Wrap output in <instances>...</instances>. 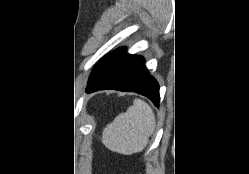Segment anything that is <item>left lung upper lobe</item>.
Returning <instances> with one entry per match:
<instances>
[{"label": "left lung upper lobe", "mask_w": 249, "mask_h": 174, "mask_svg": "<svg viewBox=\"0 0 249 174\" xmlns=\"http://www.w3.org/2000/svg\"><path fill=\"white\" fill-rule=\"evenodd\" d=\"M117 50H115L114 52L106 55L93 69L90 77L94 76L95 74H97L109 61L110 59L113 57V55L116 53Z\"/></svg>", "instance_id": "left-lung-upper-lobe-1"}]
</instances>
